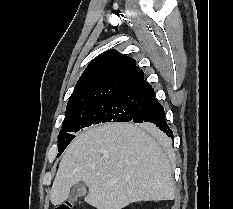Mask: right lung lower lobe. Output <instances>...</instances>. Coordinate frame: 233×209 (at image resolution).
Instances as JSON below:
<instances>
[{
	"label": "right lung lower lobe",
	"mask_w": 233,
	"mask_h": 209,
	"mask_svg": "<svg viewBox=\"0 0 233 209\" xmlns=\"http://www.w3.org/2000/svg\"><path fill=\"white\" fill-rule=\"evenodd\" d=\"M131 121L149 127H159L166 135L173 138V132L165 120L164 108L156 99L144 105Z\"/></svg>",
	"instance_id": "obj_1"
}]
</instances>
